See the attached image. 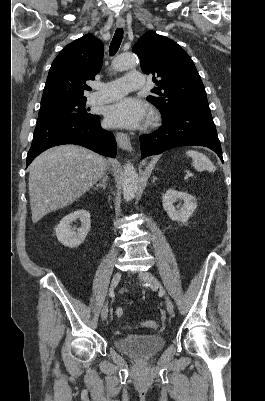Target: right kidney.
I'll return each mask as SVG.
<instances>
[{
    "label": "right kidney",
    "mask_w": 265,
    "mask_h": 401,
    "mask_svg": "<svg viewBox=\"0 0 265 401\" xmlns=\"http://www.w3.org/2000/svg\"><path fill=\"white\" fill-rule=\"evenodd\" d=\"M79 219L81 221L80 229L74 231L71 229V223ZM91 223H90V213L84 211V209H80V211H74V213H70V215H66L62 221H60L58 227H56V237L62 245L65 247H79L81 243H83L86 235H88L90 231Z\"/></svg>",
    "instance_id": "1"
}]
</instances>
